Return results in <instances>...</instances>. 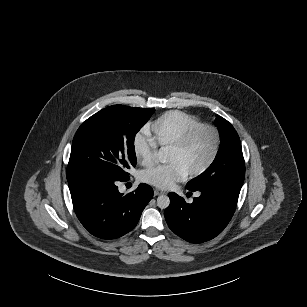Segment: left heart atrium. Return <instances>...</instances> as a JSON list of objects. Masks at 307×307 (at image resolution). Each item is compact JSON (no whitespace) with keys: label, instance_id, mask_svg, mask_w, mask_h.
<instances>
[{"label":"left heart atrium","instance_id":"39dd6f15","mask_svg":"<svg viewBox=\"0 0 307 307\" xmlns=\"http://www.w3.org/2000/svg\"><path fill=\"white\" fill-rule=\"evenodd\" d=\"M187 172L177 163L157 164L141 172V179L158 188H169L176 181H183Z\"/></svg>","mask_w":307,"mask_h":307}]
</instances>
